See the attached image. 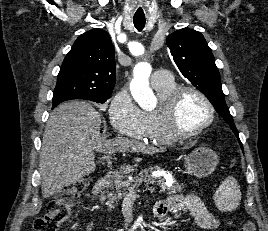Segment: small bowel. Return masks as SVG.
<instances>
[{
    "instance_id": "obj_1",
    "label": "small bowel",
    "mask_w": 268,
    "mask_h": 231,
    "mask_svg": "<svg viewBox=\"0 0 268 231\" xmlns=\"http://www.w3.org/2000/svg\"><path fill=\"white\" fill-rule=\"evenodd\" d=\"M184 211L191 215L194 224L203 231L213 230L218 225L215 214L196 195H170L165 200L158 202L154 207V212L158 217H164L168 213L177 214ZM92 229L93 222L90 220L85 226V231H92Z\"/></svg>"
}]
</instances>
